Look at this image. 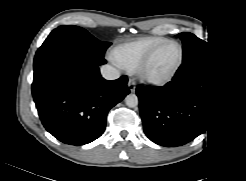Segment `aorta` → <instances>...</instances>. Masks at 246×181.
<instances>
[{"label": "aorta", "instance_id": "aorta-1", "mask_svg": "<svg viewBox=\"0 0 246 181\" xmlns=\"http://www.w3.org/2000/svg\"><path fill=\"white\" fill-rule=\"evenodd\" d=\"M124 101H125L126 106H128L130 108L136 107L138 105V103H139L137 95L132 94V93L128 94L125 97Z\"/></svg>", "mask_w": 246, "mask_h": 181}]
</instances>
